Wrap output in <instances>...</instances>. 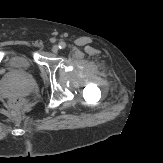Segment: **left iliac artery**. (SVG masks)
<instances>
[{"instance_id": "44dca946", "label": "left iliac artery", "mask_w": 163, "mask_h": 163, "mask_svg": "<svg viewBox=\"0 0 163 163\" xmlns=\"http://www.w3.org/2000/svg\"><path fill=\"white\" fill-rule=\"evenodd\" d=\"M58 47L60 49H64L66 47V43L65 42H60L59 45H58Z\"/></svg>"}]
</instances>
